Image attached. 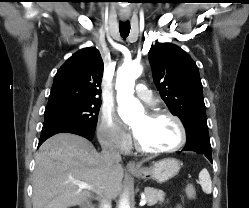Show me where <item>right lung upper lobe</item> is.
I'll use <instances>...</instances> for the list:
<instances>
[{"mask_svg":"<svg viewBox=\"0 0 249 208\" xmlns=\"http://www.w3.org/2000/svg\"><path fill=\"white\" fill-rule=\"evenodd\" d=\"M103 67L100 52L94 47L73 54L55 75L46 107L100 100Z\"/></svg>","mask_w":249,"mask_h":208,"instance_id":"obj_1","label":"right lung upper lobe"}]
</instances>
